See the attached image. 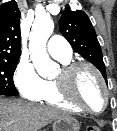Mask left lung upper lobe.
<instances>
[{"label": "left lung upper lobe", "mask_w": 117, "mask_h": 131, "mask_svg": "<svg viewBox=\"0 0 117 131\" xmlns=\"http://www.w3.org/2000/svg\"><path fill=\"white\" fill-rule=\"evenodd\" d=\"M59 28L73 49L98 68L106 79L102 50L88 16L83 11L66 8L59 20Z\"/></svg>", "instance_id": "5c2ea615"}]
</instances>
